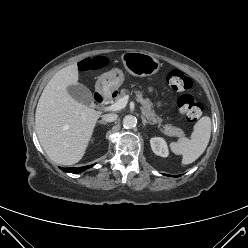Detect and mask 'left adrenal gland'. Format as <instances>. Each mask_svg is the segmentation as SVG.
<instances>
[{"label": "left adrenal gland", "mask_w": 248, "mask_h": 248, "mask_svg": "<svg viewBox=\"0 0 248 248\" xmlns=\"http://www.w3.org/2000/svg\"><path fill=\"white\" fill-rule=\"evenodd\" d=\"M141 118H142V123H143V125H144V126H145L146 124H150V125H152V123H151V122H149V121H147V120L145 119V117H144V116H142Z\"/></svg>", "instance_id": "1"}]
</instances>
